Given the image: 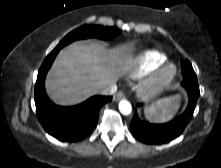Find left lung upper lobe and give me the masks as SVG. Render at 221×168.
<instances>
[{
    "label": "left lung upper lobe",
    "mask_w": 221,
    "mask_h": 168,
    "mask_svg": "<svg viewBox=\"0 0 221 168\" xmlns=\"http://www.w3.org/2000/svg\"><path fill=\"white\" fill-rule=\"evenodd\" d=\"M181 71L183 78L196 77L192 65L188 60H181Z\"/></svg>",
    "instance_id": "5c2ea615"
}]
</instances>
